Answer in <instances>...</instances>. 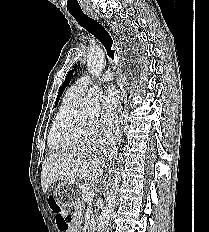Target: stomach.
<instances>
[{
    "mask_svg": "<svg viewBox=\"0 0 209 232\" xmlns=\"http://www.w3.org/2000/svg\"><path fill=\"white\" fill-rule=\"evenodd\" d=\"M84 186H78V182H59L56 186L55 201L60 208L71 207L77 203V199H81Z\"/></svg>",
    "mask_w": 209,
    "mask_h": 232,
    "instance_id": "1",
    "label": "stomach"
}]
</instances>
